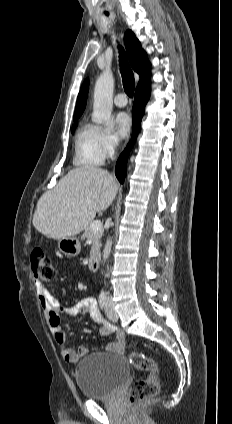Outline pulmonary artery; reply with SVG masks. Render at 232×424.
Returning <instances> with one entry per match:
<instances>
[{"instance_id":"pulmonary-artery-1","label":"pulmonary artery","mask_w":232,"mask_h":424,"mask_svg":"<svg viewBox=\"0 0 232 424\" xmlns=\"http://www.w3.org/2000/svg\"><path fill=\"white\" fill-rule=\"evenodd\" d=\"M114 103L118 107H125L128 103L127 97L123 93H119L114 98Z\"/></svg>"}]
</instances>
